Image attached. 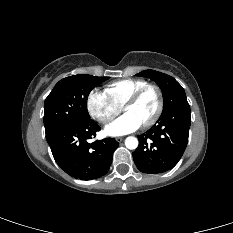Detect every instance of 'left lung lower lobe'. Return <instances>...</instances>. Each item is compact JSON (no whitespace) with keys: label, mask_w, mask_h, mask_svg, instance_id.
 Here are the masks:
<instances>
[{"label":"left lung lower lobe","mask_w":233,"mask_h":233,"mask_svg":"<svg viewBox=\"0 0 233 233\" xmlns=\"http://www.w3.org/2000/svg\"><path fill=\"white\" fill-rule=\"evenodd\" d=\"M190 124L191 111L187 101L163 112L156 124L139 136V146L133 153L137 168L148 174L171 170L185 151Z\"/></svg>","instance_id":"0a47b994"}]
</instances>
